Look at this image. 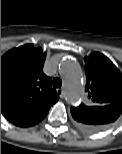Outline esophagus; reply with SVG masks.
I'll return each mask as SVG.
<instances>
[{
  "mask_svg": "<svg viewBox=\"0 0 122 154\" xmlns=\"http://www.w3.org/2000/svg\"><path fill=\"white\" fill-rule=\"evenodd\" d=\"M56 92H57V94L59 95L60 98H63L64 97V91H63V89H57Z\"/></svg>",
  "mask_w": 122,
  "mask_h": 154,
  "instance_id": "obj_1",
  "label": "esophagus"
}]
</instances>
